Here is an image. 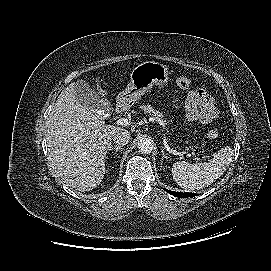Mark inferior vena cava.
Masks as SVG:
<instances>
[{
  "mask_svg": "<svg viewBox=\"0 0 271 271\" xmlns=\"http://www.w3.org/2000/svg\"><path fill=\"white\" fill-rule=\"evenodd\" d=\"M113 141L119 145H126L130 141V133L125 129H118L112 136Z\"/></svg>",
  "mask_w": 271,
  "mask_h": 271,
  "instance_id": "inferior-vena-cava-1",
  "label": "inferior vena cava"
}]
</instances>
